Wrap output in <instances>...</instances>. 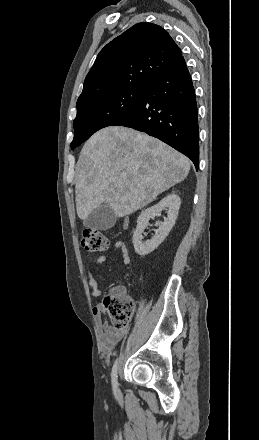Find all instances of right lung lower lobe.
<instances>
[{"instance_id": "right-lung-lower-lobe-1", "label": "right lung lower lobe", "mask_w": 259, "mask_h": 440, "mask_svg": "<svg viewBox=\"0 0 259 440\" xmlns=\"http://www.w3.org/2000/svg\"><path fill=\"white\" fill-rule=\"evenodd\" d=\"M113 125L134 128L160 139L189 157L198 170L197 104L184 58L155 79L136 107Z\"/></svg>"}]
</instances>
